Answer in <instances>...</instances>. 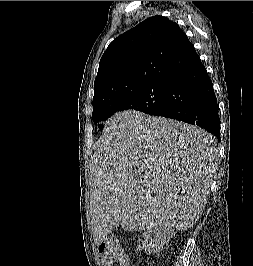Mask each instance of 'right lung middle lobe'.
Segmentation results:
<instances>
[{
    "label": "right lung middle lobe",
    "instance_id": "dd1d6c3e",
    "mask_svg": "<svg viewBox=\"0 0 253 266\" xmlns=\"http://www.w3.org/2000/svg\"><path fill=\"white\" fill-rule=\"evenodd\" d=\"M166 88L167 82H152L108 101L95 104L92 119L102 130V123L114 113L122 110H136L154 115L163 107Z\"/></svg>",
    "mask_w": 253,
    "mask_h": 266
}]
</instances>
